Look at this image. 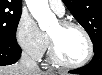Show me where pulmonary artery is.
<instances>
[{"instance_id": "e3ab8cb5", "label": "pulmonary artery", "mask_w": 102, "mask_h": 75, "mask_svg": "<svg viewBox=\"0 0 102 75\" xmlns=\"http://www.w3.org/2000/svg\"><path fill=\"white\" fill-rule=\"evenodd\" d=\"M49 6L59 16H63L65 13V6L61 0H49Z\"/></svg>"}]
</instances>
